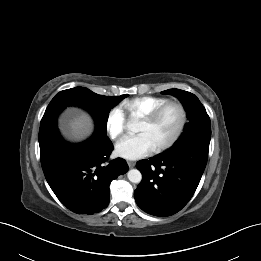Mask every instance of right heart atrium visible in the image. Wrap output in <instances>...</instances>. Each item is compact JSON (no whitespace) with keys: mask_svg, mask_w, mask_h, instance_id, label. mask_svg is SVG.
<instances>
[{"mask_svg":"<svg viewBox=\"0 0 261 261\" xmlns=\"http://www.w3.org/2000/svg\"><path fill=\"white\" fill-rule=\"evenodd\" d=\"M127 127V119L125 113L120 107L112 108L105 120V128L112 139L120 137Z\"/></svg>","mask_w":261,"mask_h":261,"instance_id":"1","label":"right heart atrium"}]
</instances>
